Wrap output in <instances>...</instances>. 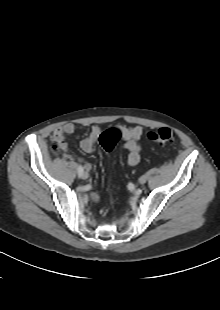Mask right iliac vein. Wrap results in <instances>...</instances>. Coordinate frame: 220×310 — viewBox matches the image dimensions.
I'll list each match as a JSON object with an SVG mask.
<instances>
[{"label": "right iliac vein", "mask_w": 220, "mask_h": 310, "mask_svg": "<svg viewBox=\"0 0 220 310\" xmlns=\"http://www.w3.org/2000/svg\"><path fill=\"white\" fill-rule=\"evenodd\" d=\"M89 177L88 173L87 172H83L82 175H81V178L86 180L87 178Z\"/></svg>", "instance_id": "obj_1"}]
</instances>
